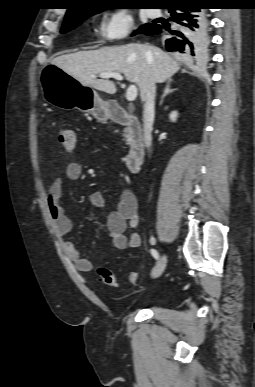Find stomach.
Wrapping results in <instances>:
<instances>
[{
    "label": "stomach",
    "mask_w": 255,
    "mask_h": 387,
    "mask_svg": "<svg viewBox=\"0 0 255 387\" xmlns=\"http://www.w3.org/2000/svg\"><path fill=\"white\" fill-rule=\"evenodd\" d=\"M41 82L44 98L53 106L61 109L78 108L101 122L109 118V102L102 100L93 88L81 84L59 67H46Z\"/></svg>",
    "instance_id": "obj_1"
}]
</instances>
